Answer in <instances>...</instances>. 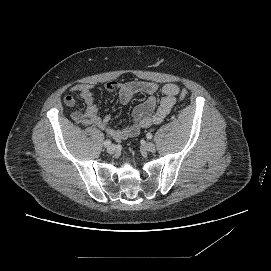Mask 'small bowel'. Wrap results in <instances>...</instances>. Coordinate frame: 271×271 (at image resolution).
<instances>
[{
    "label": "small bowel",
    "instance_id": "small-bowel-1",
    "mask_svg": "<svg viewBox=\"0 0 271 271\" xmlns=\"http://www.w3.org/2000/svg\"><path fill=\"white\" fill-rule=\"evenodd\" d=\"M104 88L107 92H117L122 104H128L138 94L147 96L144 102L133 109L132 122L124 128L117 129L110 126L109 116L99 115L91 85L77 84L70 88L69 92L77 93L86 106L84 112L74 111L72 119L85 126L95 125L115 140L136 136L142 129L162 123L176 104V95L179 92L176 84L167 83L161 86L147 81L108 82ZM70 93L65 95L64 103L68 107H74L76 100ZM158 93L162 94V98L157 105Z\"/></svg>",
    "mask_w": 271,
    "mask_h": 271
}]
</instances>
